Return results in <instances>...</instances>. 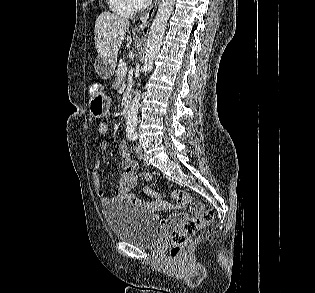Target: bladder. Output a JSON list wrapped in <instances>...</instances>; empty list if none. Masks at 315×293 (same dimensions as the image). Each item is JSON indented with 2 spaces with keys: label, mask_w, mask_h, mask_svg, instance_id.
<instances>
[{
  "label": "bladder",
  "mask_w": 315,
  "mask_h": 293,
  "mask_svg": "<svg viewBox=\"0 0 315 293\" xmlns=\"http://www.w3.org/2000/svg\"><path fill=\"white\" fill-rule=\"evenodd\" d=\"M104 217L116 239L139 247L156 245L162 234L158 223L145 210L129 203L109 205Z\"/></svg>",
  "instance_id": "1"
}]
</instances>
